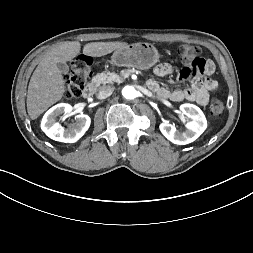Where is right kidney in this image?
Returning <instances> with one entry per match:
<instances>
[{
	"label": "right kidney",
	"mask_w": 253,
	"mask_h": 253,
	"mask_svg": "<svg viewBox=\"0 0 253 253\" xmlns=\"http://www.w3.org/2000/svg\"><path fill=\"white\" fill-rule=\"evenodd\" d=\"M73 108L70 104L60 103L50 108L44 115L41 122V129L48 137L53 140L74 143L78 141L88 130L91 119L88 115L79 114L76 116L75 122L64 129L56 121L57 117L62 113L65 115L72 114Z\"/></svg>",
	"instance_id": "ca27d5eb"
}]
</instances>
